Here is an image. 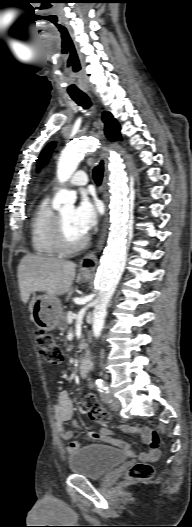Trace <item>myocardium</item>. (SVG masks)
<instances>
[{"label":"myocardium","instance_id":"myocardium-1","mask_svg":"<svg viewBox=\"0 0 192 527\" xmlns=\"http://www.w3.org/2000/svg\"><path fill=\"white\" fill-rule=\"evenodd\" d=\"M54 238L58 249L63 253H75L82 250L88 243V236H84L82 240L77 243H69L66 239L62 219L57 213L55 215L54 223Z\"/></svg>","mask_w":192,"mask_h":527}]
</instances>
